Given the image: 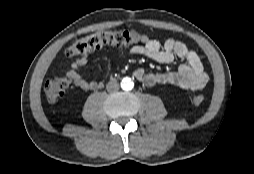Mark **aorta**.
<instances>
[{
  "label": "aorta",
  "instance_id": "1",
  "mask_svg": "<svg viewBox=\"0 0 254 174\" xmlns=\"http://www.w3.org/2000/svg\"><path fill=\"white\" fill-rule=\"evenodd\" d=\"M134 87V83L130 78H124L121 82V88L123 90H131Z\"/></svg>",
  "mask_w": 254,
  "mask_h": 174
}]
</instances>
